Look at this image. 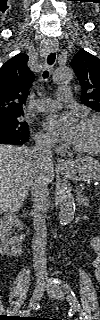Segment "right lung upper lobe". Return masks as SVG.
Here are the masks:
<instances>
[{"instance_id":"right-lung-upper-lobe-1","label":"right lung upper lobe","mask_w":100,"mask_h":320,"mask_svg":"<svg viewBox=\"0 0 100 320\" xmlns=\"http://www.w3.org/2000/svg\"><path fill=\"white\" fill-rule=\"evenodd\" d=\"M27 61L28 56L20 53L0 68V119L23 114L22 105L34 80Z\"/></svg>"}]
</instances>
